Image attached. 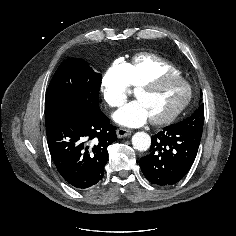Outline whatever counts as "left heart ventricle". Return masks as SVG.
Listing matches in <instances>:
<instances>
[{"label": "left heart ventricle", "mask_w": 236, "mask_h": 236, "mask_svg": "<svg viewBox=\"0 0 236 236\" xmlns=\"http://www.w3.org/2000/svg\"><path fill=\"white\" fill-rule=\"evenodd\" d=\"M183 83L168 80L152 90L138 93L137 98L145 105L150 118H159L171 113L185 98Z\"/></svg>", "instance_id": "left-heart-ventricle-1"}]
</instances>
